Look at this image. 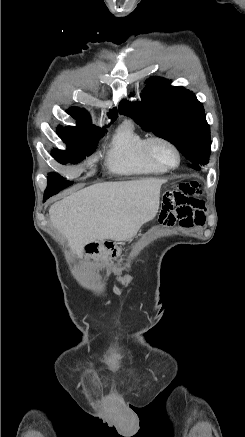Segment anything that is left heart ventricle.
Wrapping results in <instances>:
<instances>
[{
  "instance_id": "obj_1",
  "label": "left heart ventricle",
  "mask_w": 245,
  "mask_h": 437,
  "mask_svg": "<svg viewBox=\"0 0 245 437\" xmlns=\"http://www.w3.org/2000/svg\"><path fill=\"white\" fill-rule=\"evenodd\" d=\"M154 151L164 162L168 164L176 163V155L169 147L162 144H157L154 146Z\"/></svg>"
}]
</instances>
